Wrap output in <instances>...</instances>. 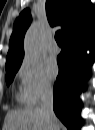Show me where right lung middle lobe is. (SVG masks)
I'll return each instance as SVG.
<instances>
[{
  "mask_svg": "<svg viewBox=\"0 0 95 130\" xmlns=\"http://www.w3.org/2000/svg\"><path fill=\"white\" fill-rule=\"evenodd\" d=\"M19 68H13V69H8L6 70V83L7 85H9L13 79H14V76L16 74V72L18 71Z\"/></svg>",
  "mask_w": 95,
  "mask_h": 130,
  "instance_id": "1",
  "label": "right lung middle lobe"
}]
</instances>
